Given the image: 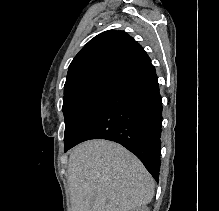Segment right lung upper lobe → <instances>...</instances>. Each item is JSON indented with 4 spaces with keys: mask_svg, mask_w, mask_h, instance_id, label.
Listing matches in <instances>:
<instances>
[{
    "mask_svg": "<svg viewBox=\"0 0 219 211\" xmlns=\"http://www.w3.org/2000/svg\"><path fill=\"white\" fill-rule=\"evenodd\" d=\"M150 63L144 49L124 31L103 32L91 39L71 62L64 99L96 85L116 86Z\"/></svg>",
    "mask_w": 219,
    "mask_h": 211,
    "instance_id": "1",
    "label": "right lung upper lobe"
}]
</instances>
